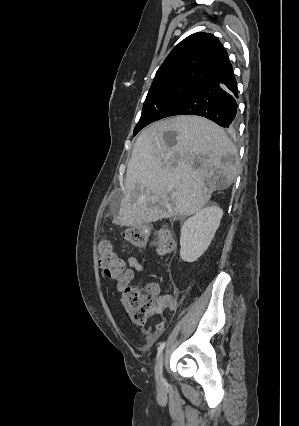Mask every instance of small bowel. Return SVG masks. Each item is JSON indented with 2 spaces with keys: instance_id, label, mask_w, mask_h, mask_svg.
<instances>
[{
  "instance_id": "c3829d8e",
  "label": "small bowel",
  "mask_w": 299,
  "mask_h": 426,
  "mask_svg": "<svg viewBox=\"0 0 299 426\" xmlns=\"http://www.w3.org/2000/svg\"><path fill=\"white\" fill-rule=\"evenodd\" d=\"M124 263H126L129 268L124 269V271L116 276L110 278L111 281L115 282L116 284V291L120 295V298L122 302H125L126 300V290L129 286V284L134 279L135 273H142L144 271V266L139 262V260L136 257H127L124 260H122ZM148 288L157 295L159 293V286L157 284H150ZM127 311L131 313L130 308H127ZM164 331V323L160 322L157 325L150 327L147 331V339L151 343L155 341Z\"/></svg>"
}]
</instances>
